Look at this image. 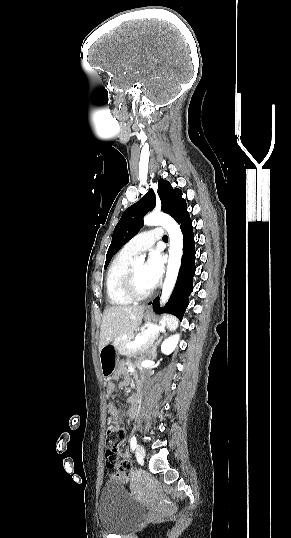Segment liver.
Here are the masks:
<instances>
[{"label": "liver", "mask_w": 291, "mask_h": 538, "mask_svg": "<svg viewBox=\"0 0 291 538\" xmlns=\"http://www.w3.org/2000/svg\"><path fill=\"white\" fill-rule=\"evenodd\" d=\"M144 306L118 305L104 310L100 326L99 350L118 336L133 332L142 321Z\"/></svg>", "instance_id": "1"}]
</instances>
